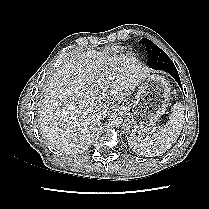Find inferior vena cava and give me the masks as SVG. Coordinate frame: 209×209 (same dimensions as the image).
<instances>
[{
	"label": "inferior vena cava",
	"mask_w": 209,
	"mask_h": 209,
	"mask_svg": "<svg viewBox=\"0 0 209 209\" xmlns=\"http://www.w3.org/2000/svg\"><path fill=\"white\" fill-rule=\"evenodd\" d=\"M93 116H94V119L96 118V119H98V118H100V116H101V112L99 111V110H97V109H94L93 110ZM101 119V118H100Z\"/></svg>",
	"instance_id": "1"
}]
</instances>
